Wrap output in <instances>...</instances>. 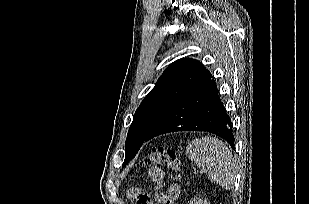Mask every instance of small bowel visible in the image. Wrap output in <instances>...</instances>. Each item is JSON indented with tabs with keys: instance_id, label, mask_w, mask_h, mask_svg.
Returning a JSON list of instances; mask_svg holds the SVG:
<instances>
[{
	"instance_id": "small-bowel-1",
	"label": "small bowel",
	"mask_w": 309,
	"mask_h": 204,
	"mask_svg": "<svg viewBox=\"0 0 309 204\" xmlns=\"http://www.w3.org/2000/svg\"><path fill=\"white\" fill-rule=\"evenodd\" d=\"M147 176L155 184L153 196H149L140 188H131L128 191V198L136 203L138 197L142 196L147 198L144 204H175L180 193V186L173 183L165 192L161 191L166 182V173L159 167L148 168Z\"/></svg>"
}]
</instances>
